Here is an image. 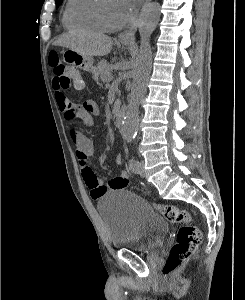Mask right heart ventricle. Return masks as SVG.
Returning a JSON list of instances; mask_svg holds the SVG:
<instances>
[{
    "label": "right heart ventricle",
    "instance_id": "1",
    "mask_svg": "<svg viewBox=\"0 0 245 300\" xmlns=\"http://www.w3.org/2000/svg\"><path fill=\"white\" fill-rule=\"evenodd\" d=\"M97 0H68L63 15L66 28L74 32H101L95 14Z\"/></svg>",
    "mask_w": 245,
    "mask_h": 300
}]
</instances>
